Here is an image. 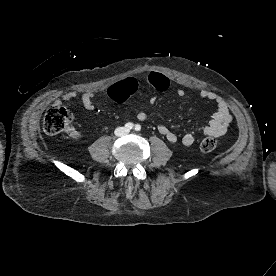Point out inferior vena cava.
Wrapping results in <instances>:
<instances>
[{"mask_svg":"<svg viewBox=\"0 0 276 276\" xmlns=\"http://www.w3.org/2000/svg\"><path fill=\"white\" fill-rule=\"evenodd\" d=\"M126 133H127V129L124 128V127H118V128H116V130H115V135H116V136H123V135H125Z\"/></svg>","mask_w":276,"mask_h":276,"instance_id":"602c4592","label":"inferior vena cava"}]
</instances>
